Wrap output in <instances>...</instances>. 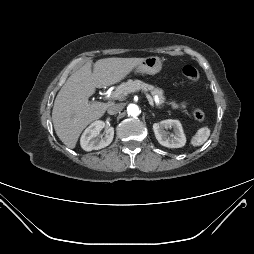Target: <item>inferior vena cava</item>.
Returning <instances> with one entry per match:
<instances>
[{
    "label": "inferior vena cava",
    "mask_w": 254,
    "mask_h": 254,
    "mask_svg": "<svg viewBox=\"0 0 254 254\" xmlns=\"http://www.w3.org/2000/svg\"><path fill=\"white\" fill-rule=\"evenodd\" d=\"M123 109V105L118 103V104H112L111 106L108 107V114L110 115H114L117 114L119 112H121Z\"/></svg>",
    "instance_id": "obj_1"
}]
</instances>
